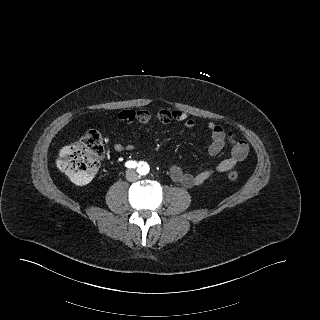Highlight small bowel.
Instances as JSON below:
<instances>
[{
	"label": "small bowel",
	"mask_w": 320,
	"mask_h": 320,
	"mask_svg": "<svg viewBox=\"0 0 320 320\" xmlns=\"http://www.w3.org/2000/svg\"><path fill=\"white\" fill-rule=\"evenodd\" d=\"M153 118L162 123L176 122L186 128H194L196 122L190 119L187 113L177 109H162L154 116L147 110L126 109L117 114L116 120L122 124H130L137 121L142 124L149 123ZM211 136V143L208 148V154L211 157L217 156L226 145L231 148V155L220 161L214 168L206 169L198 173H191L183 170L179 165L173 164L169 168V175L173 181L184 187L192 188L199 186L209 180L217 173H226L232 170L239 162L243 161L248 154V145L245 141L239 139L234 133L224 129L222 126L210 122L207 125ZM113 149L116 152L130 151L131 145L115 143Z\"/></svg>",
	"instance_id": "small-bowel-1"
}]
</instances>
